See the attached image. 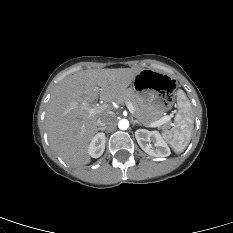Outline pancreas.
Masks as SVG:
<instances>
[{
    "label": "pancreas",
    "mask_w": 233,
    "mask_h": 233,
    "mask_svg": "<svg viewBox=\"0 0 233 233\" xmlns=\"http://www.w3.org/2000/svg\"><path fill=\"white\" fill-rule=\"evenodd\" d=\"M131 101L135 109V117L144 126H149L151 123L162 118V113L155 110L150 104L146 103L139 95L132 90H127L125 95L120 99V102Z\"/></svg>",
    "instance_id": "1"
}]
</instances>
